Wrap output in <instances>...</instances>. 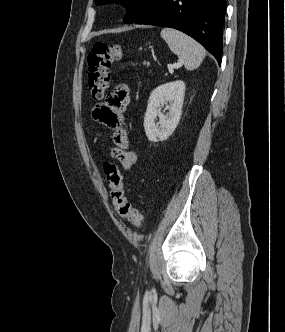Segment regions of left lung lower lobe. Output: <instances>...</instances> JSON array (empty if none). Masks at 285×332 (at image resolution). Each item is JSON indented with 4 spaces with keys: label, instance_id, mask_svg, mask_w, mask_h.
<instances>
[{
    "label": "left lung lower lobe",
    "instance_id": "0a47b994",
    "mask_svg": "<svg viewBox=\"0 0 285 332\" xmlns=\"http://www.w3.org/2000/svg\"><path fill=\"white\" fill-rule=\"evenodd\" d=\"M226 0H158L134 23L171 27L202 44L221 64Z\"/></svg>",
    "mask_w": 285,
    "mask_h": 332
}]
</instances>
